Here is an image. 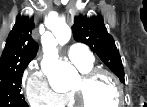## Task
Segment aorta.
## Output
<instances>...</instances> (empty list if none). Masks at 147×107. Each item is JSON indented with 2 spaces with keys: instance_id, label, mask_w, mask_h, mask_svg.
I'll list each match as a JSON object with an SVG mask.
<instances>
[{
  "instance_id": "1",
  "label": "aorta",
  "mask_w": 147,
  "mask_h": 107,
  "mask_svg": "<svg viewBox=\"0 0 147 107\" xmlns=\"http://www.w3.org/2000/svg\"><path fill=\"white\" fill-rule=\"evenodd\" d=\"M70 37L71 31L66 29L63 33V38L68 41ZM57 44V40L50 33H46L42 37L43 59L41 68L47 75L51 87L55 90L67 88L72 80L78 76L74 66L59 60Z\"/></svg>"
}]
</instances>
